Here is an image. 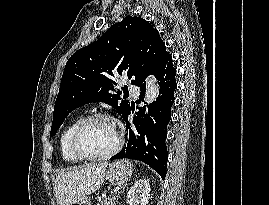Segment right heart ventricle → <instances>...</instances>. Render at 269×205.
<instances>
[{
    "mask_svg": "<svg viewBox=\"0 0 269 205\" xmlns=\"http://www.w3.org/2000/svg\"><path fill=\"white\" fill-rule=\"evenodd\" d=\"M83 120V116L79 115L73 118L69 124L63 130L60 136V151L62 158L68 163H77L80 162L81 159L76 156L71 148V137L73 131L77 127V125Z\"/></svg>",
    "mask_w": 269,
    "mask_h": 205,
    "instance_id": "e07e8e85",
    "label": "right heart ventricle"
}]
</instances>
